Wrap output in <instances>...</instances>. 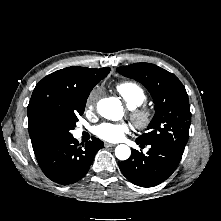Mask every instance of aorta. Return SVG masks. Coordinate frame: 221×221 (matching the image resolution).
<instances>
[{
    "label": "aorta",
    "mask_w": 221,
    "mask_h": 221,
    "mask_svg": "<svg viewBox=\"0 0 221 221\" xmlns=\"http://www.w3.org/2000/svg\"><path fill=\"white\" fill-rule=\"evenodd\" d=\"M98 113L109 120H120L123 117V107L119 99L110 97L101 99L97 103ZM131 155L130 148L125 144H120L115 148V156L119 160H127Z\"/></svg>",
    "instance_id": "762f6f07"
}]
</instances>
